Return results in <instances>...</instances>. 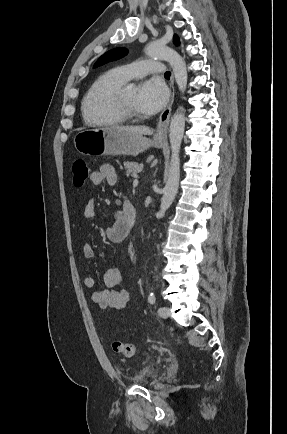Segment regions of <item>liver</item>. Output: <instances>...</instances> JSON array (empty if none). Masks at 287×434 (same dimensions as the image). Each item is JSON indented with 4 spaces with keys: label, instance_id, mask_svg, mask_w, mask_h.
Returning <instances> with one entry per match:
<instances>
[{
    "label": "liver",
    "instance_id": "liver-1",
    "mask_svg": "<svg viewBox=\"0 0 287 434\" xmlns=\"http://www.w3.org/2000/svg\"><path fill=\"white\" fill-rule=\"evenodd\" d=\"M113 128L134 135H151L153 132L150 128L145 126H114Z\"/></svg>",
    "mask_w": 287,
    "mask_h": 434
}]
</instances>
